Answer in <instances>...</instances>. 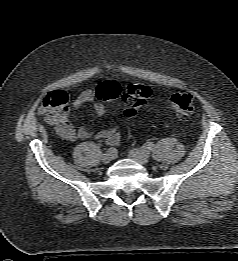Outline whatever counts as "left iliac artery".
Returning a JSON list of instances; mask_svg holds the SVG:
<instances>
[{"instance_id": "left-iliac-artery-1", "label": "left iliac artery", "mask_w": 238, "mask_h": 261, "mask_svg": "<svg viewBox=\"0 0 238 261\" xmlns=\"http://www.w3.org/2000/svg\"><path fill=\"white\" fill-rule=\"evenodd\" d=\"M154 146V143L152 141H148L146 142L143 146H142V150L144 152H150L152 150Z\"/></svg>"}]
</instances>
